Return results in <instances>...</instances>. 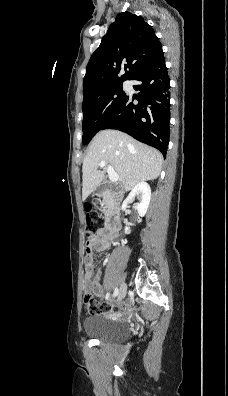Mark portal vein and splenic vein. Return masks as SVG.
I'll return each instance as SVG.
<instances>
[{"label":"portal vein and splenic vein","mask_w":228,"mask_h":396,"mask_svg":"<svg viewBox=\"0 0 228 396\" xmlns=\"http://www.w3.org/2000/svg\"><path fill=\"white\" fill-rule=\"evenodd\" d=\"M99 166L101 168H104L106 166V163L102 161L99 163ZM107 172L111 182H117L119 180L118 174L115 172L114 168L111 165L108 166Z\"/></svg>","instance_id":"18ae733b"}]
</instances>
